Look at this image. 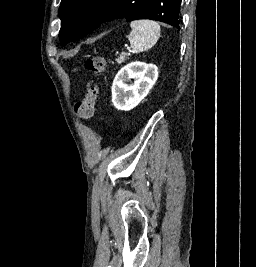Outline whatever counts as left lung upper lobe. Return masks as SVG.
<instances>
[{"label":"left lung upper lobe","instance_id":"1","mask_svg":"<svg viewBox=\"0 0 256 267\" xmlns=\"http://www.w3.org/2000/svg\"><path fill=\"white\" fill-rule=\"evenodd\" d=\"M59 15L62 46L83 38L103 20L115 16L125 17L128 22L153 19L176 27L175 0H61Z\"/></svg>","mask_w":256,"mask_h":267}]
</instances>
